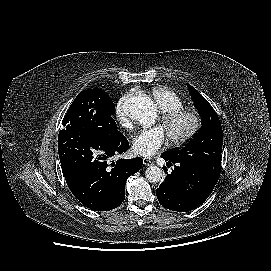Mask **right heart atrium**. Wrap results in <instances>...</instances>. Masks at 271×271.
Here are the masks:
<instances>
[{
	"instance_id": "right-heart-atrium-1",
	"label": "right heart atrium",
	"mask_w": 271,
	"mask_h": 271,
	"mask_svg": "<svg viewBox=\"0 0 271 271\" xmlns=\"http://www.w3.org/2000/svg\"><path fill=\"white\" fill-rule=\"evenodd\" d=\"M131 96H132L131 93H128V94L122 96L116 104V117H117V120L119 121V123L123 127L130 126V119H129L128 114L126 112L125 106H126L127 102L130 100Z\"/></svg>"
}]
</instances>
